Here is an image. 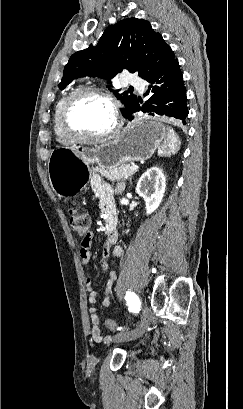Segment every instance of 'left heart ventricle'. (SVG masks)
I'll list each match as a JSON object with an SVG mask.
<instances>
[{
	"mask_svg": "<svg viewBox=\"0 0 243 409\" xmlns=\"http://www.w3.org/2000/svg\"><path fill=\"white\" fill-rule=\"evenodd\" d=\"M70 124L74 129L86 135L103 133L113 124L111 109L99 98H81L71 110Z\"/></svg>",
	"mask_w": 243,
	"mask_h": 409,
	"instance_id": "1",
	"label": "left heart ventricle"
}]
</instances>
